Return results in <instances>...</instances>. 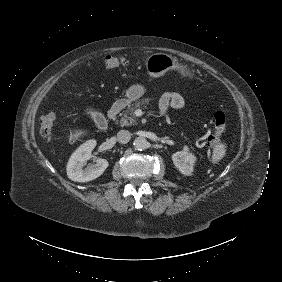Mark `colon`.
I'll list each match as a JSON object with an SVG mask.
<instances>
[{"label":"colon","mask_w":282,"mask_h":282,"mask_svg":"<svg viewBox=\"0 0 282 282\" xmlns=\"http://www.w3.org/2000/svg\"><path fill=\"white\" fill-rule=\"evenodd\" d=\"M104 64L110 70H122L127 67L128 61L121 54H108L104 59ZM57 123V116L53 111L43 114L39 120V131L43 136L52 135ZM227 132V117L223 111H217L212 118V129L207 134V144L210 148H215L223 141Z\"/></svg>","instance_id":"1"}]
</instances>
